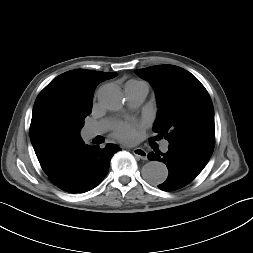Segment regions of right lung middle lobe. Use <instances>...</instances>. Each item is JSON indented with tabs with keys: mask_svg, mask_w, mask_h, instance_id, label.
Instances as JSON below:
<instances>
[{
	"mask_svg": "<svg viewBox=\"0 0 253 253\" xmlns=\"http://www.w3.org/2000/svg\"><path fill=\"white\" fill-rule=\"evenodd\" d=\"M92 108L87 111H81L74 115L71 120L72 129L79 134L80 129L84 126V119L91 113Z\"/></svg>",
	"mask_w": 253,
	"mask_h": 253,
	"instance_id": "right-lung-middle-lobe-1",
	"label": "right lung middle lobe"
}]
</instances>
